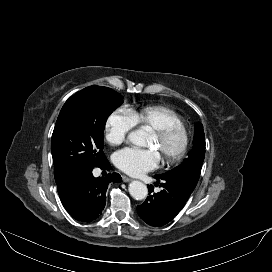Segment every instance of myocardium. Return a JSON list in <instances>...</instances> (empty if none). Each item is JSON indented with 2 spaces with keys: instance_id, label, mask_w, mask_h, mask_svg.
<instances>
[{
  "instance_id": "f54148a6",
  "label": "myocardium",
  "mask_w": 272,
  "mask_h": 272,
  "mask_svg": "<svg viewBox=\"0 0 272 272\" xmlns=\"http://www.w3.org/2000/svg\"><path fill=\"white\" fill-rule=\"evenodd\" d=\"M153 134L161 142H169L173 137L179 136L180 143L171 153L163 155L167 164L179 162L186 155L190 146V131L185 125H171L158 130H153Z\"/></svg>"
}]
</instances>
